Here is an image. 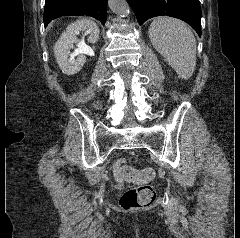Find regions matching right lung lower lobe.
<instances>
[{"label":"right lung lower lobe","instance_id":"obj_1","mask_svg":"<svg viewBox=\"0 0 240 238\" xmlns=\"http://www.w3.org/2000/svg\"><path fill=\"white\" fill-rule=\"evenodd\" d=\"M66 15L92 16L104 25L107 16V0H46L45 27L51 20Z\"/></svg>","mask_w":240,"mask_h":238}]
</instances>
